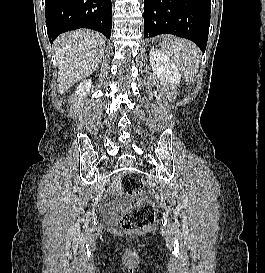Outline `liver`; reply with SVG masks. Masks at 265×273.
<instances>
[{"mask_svg":"<svg viewBox=\"0 0 265 273\" xmlns=\"http://www.w3.org/2000/svg\"><path fill=\"white\" fill-rule=\"evenodd\" d=\"M53 48L59 69L58 91L64 94L96 69L104 54L105 39L97 32L80 29L60 35Z\"/></svg>","mask_w":265,"mask_h":273,"instance_id":"1","label":"liver"}]
</instances>
